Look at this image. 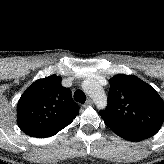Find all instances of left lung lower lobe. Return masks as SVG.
<instances>
[{"label":"left lung lower lobe","mask_w":164,"mask_h":164,"mask_svg":"<svg viewBox=\"0 0 164 164\" xmlns=\"http://www.w3.org/2000/svg\"><path fill=\"white\" fill-rule=\"evenodd\" d=\"M102 117V119L104 120V123L107 127H109L115 134H117L118 136L122 137L125 140L128 141H141L144 139H147L153 135L146 133V132H142V131H138V130H134V129H130V128H126L120 125H117L115 123H113L112 121H110L109 119H107L106 117L100 115Z\"/></svg>","instance_id":"left-lung-lower-lobe-1"}]
</instances>
